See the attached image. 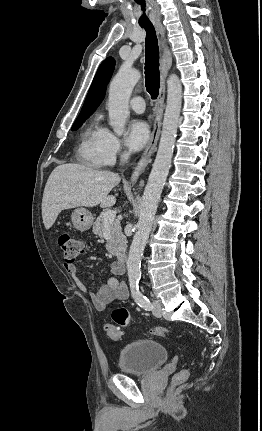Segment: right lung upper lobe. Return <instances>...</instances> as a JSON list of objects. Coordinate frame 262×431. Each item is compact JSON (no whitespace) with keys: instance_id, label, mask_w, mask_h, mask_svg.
I'll use <instances>...</instances> for the list:
<instances>
[{"instance_id":"obj_1","label":"right lung upper lobe","mask_w":262,"mask_h":431,"mask_svg":"<svg viewBox=\"0 0 262 431\" xmlns=\"http://www.w3.org/2000/svg\"><path fill=\"white\" fill-rule=\"evenodd\" d=\"M115 61L109 57L99 66L78 117H89L102 102L106 85L113 73Z\"/></svg>"}]
</instances>
